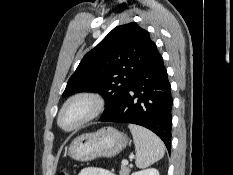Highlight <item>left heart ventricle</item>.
I'll return each mask as SVG.
<instances>
[{
	"instance_id": "obj_1",
	"label": "left heart ventricle",
	"mask_w": 233,
	"mask_h": 175,
	"mask_svg": "<svg viewBox=\"0 0 233 175\" xmlns=\"http://www.w3.org/2000/svg\"><path fill=\"white\" fill-rule=\"evenodd\" d=\"M89 110L86 102H77L71 106L63 115L62 123L64 126H71L80 120Z\"/></svg>"
}]
</instances>
